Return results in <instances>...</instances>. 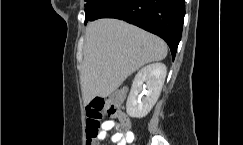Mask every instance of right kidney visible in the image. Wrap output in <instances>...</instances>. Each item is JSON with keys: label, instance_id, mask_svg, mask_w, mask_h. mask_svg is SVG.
Instances as JSON below:
<instances>
[{"label": "right kidney", "instance_id": "right-kidney-1", "mask_svg": "<svg viewBox=\"0 0 243 145\" xmlns=\"http://www.w3.org/2000/svg\"><path fill=\"white\" fill-rule=\"evenodd\" d=\"M166 73L163 63L149 64L138 71L126 102L130 117L143 118L150 112L160 96Z\"/></svg>", "mask_w": 243, "mask_h": 145}]
</instances>
